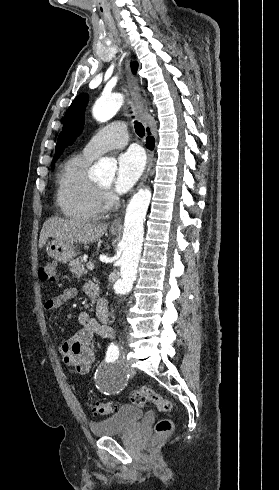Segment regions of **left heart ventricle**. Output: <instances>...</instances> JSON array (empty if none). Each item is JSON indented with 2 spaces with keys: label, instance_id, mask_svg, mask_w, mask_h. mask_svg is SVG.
Instances as JSON below:
<instances>
[{
  "label": "left heart ventricle",
  "instance_id": "left-heart-ventricle-1",
  "mask_svg": "<svg viewBox=\"0 0 279 490\" xmlns=\"http://www.w3.org/2000/svg\"><path fill=\"white\" fill-rule=\"evenodd\" d=\"M110 183L111 182L102 183V184H100V186L107 187Z\"/></svg>",
  "mask_w": 279,
  "mask_h": 490
}]
</instances>
